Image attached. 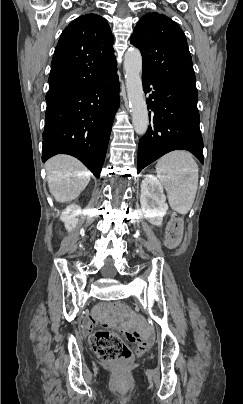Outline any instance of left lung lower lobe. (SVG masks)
<instances>
[{"mask_svg": "<svg viewBox=\"0 0 243 404\" xmlns=\"http://www.w3.org/2000/svg\"><path fill=\"white\" fill-rule=\"evenodd\" d=\"M149 121L138 146V173L162 155L177 149L190 151L203 164L199 128L198 92L194 85L161 80L142 74ZM154 100V101H152Z\"/></svg>", "mask_w": 243, "mask_h": 404, "instance_id": "0a47b994", "label": "left lung lower lobe"}]
</instances>
